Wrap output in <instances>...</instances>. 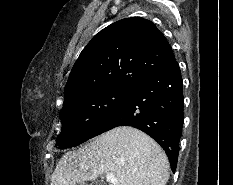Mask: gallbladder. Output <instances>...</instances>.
<instances>
[{
    "instance_id": "gallbladder-1",
    "label": "gallbladder",
    "mask_w": 233,
    "mask_h": 185,
    "mask_svg": "<svg viewBox=\"0 0 233 185\" xmlns=\"http://www.w3.org/2000/svg\"><path fill=\"white\" fill-rule=\"evenodd\" d=\"M93 185H103L101 182H95Z\"/></svg>"
}]
</instances>
